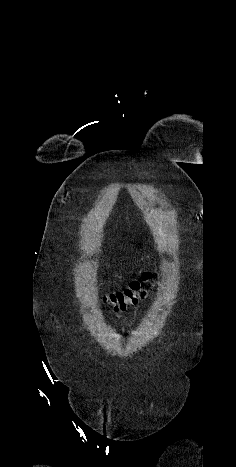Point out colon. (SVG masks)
I'll use <instances>...</instances> for the list:
<instances>
[{"label": "colon", "instance_id": "5ec220e1", "mask_svg": "<svg viewBox=\"0 0 236 467\" xmlns=\"http://www.w3.org/2000/svg\"><path fill=\"white\" fill-rule=\"evenodd\" d=\"M149 276L148 272L144 273L141 280H134L124 289L106 295L105 301L114 311L124 310L128 304L136 303L144 295L143 284Z\"/></svg>", "mask_w": 236, "mask_h": 467}]
</instances>
